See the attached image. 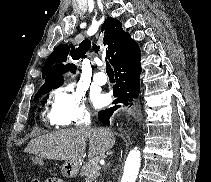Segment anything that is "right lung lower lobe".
<instances>
[{
  "label": "right lung lower lobe",
  "instance_id": "1",
  "mask_svg": "<svg viewBox=\"0 0 211 182\" xmlns=\"http://www.w3.org/2000/svg\"><path fill=\"white\" fill-rule=\"evenodd\" d=\"M140 49L137 43L131 38L125 45L114 66L116 84L113 86L114 107L105 109L98 113L99 120L110 125V117L113 112L121 107L120 104L129 105L139 95V77L141 73Z\"/></svg>",
  "mask_w": 211,
  "mask_h": 182
}]
</instances>
